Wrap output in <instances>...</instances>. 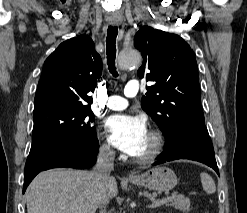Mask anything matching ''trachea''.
<instances>
[{
	"label": "trachea",
	"mask_w": 247,
	"mask_h": 213,
	"mask_svg": "<svg viewBox=\"0 0 247 213\" xmlns=\"http://www.w3.org/2000/svg\"><path fill=\"white\" fill-rule=\"evenodd\" d=\"M118 34V28L109 26L107 30L106 37V50H107V64L110 73L117 77V71L115 67V58H116V37Z\"/></svg>",
	"instance_id": "trachea-1"
}]
</instances>
